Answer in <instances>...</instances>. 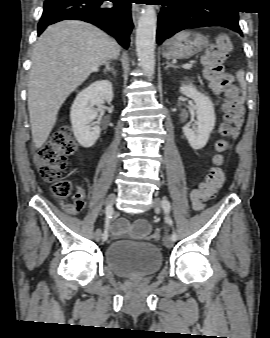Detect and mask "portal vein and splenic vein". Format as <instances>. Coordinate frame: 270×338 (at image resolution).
Instances as JSON below:
<instances>
[{"mask_svg": "<svg viewBox=\"0 0 270 338\" xmlns=\"http://www.w3.org/2000/svg\"><path fill=\"white\" fill-rule=\"evenodd\" d=\"M192 65H193V63H186V64H184L182 67H183L184 69H190V68H192Z\"/></svg>", "mask_w": 270, "mask_h": 338, "instance_id": "portal-vein-and-splenic-vein-1", "label": "portal vein and splenic vein"}]
</instances>
